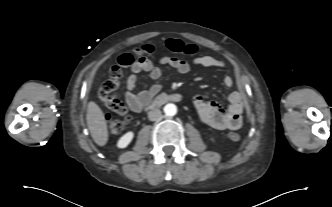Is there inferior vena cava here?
I'll return each mask as SVG.
<instances>
[{
    "mask_svg": "<svg viewBox=\"0 0 332 207\" xmlns=\"http://www.w3.org/2000/svg\"><path fill=\"white\" fill-rule=\"evenodd\" d=\"M148 118L151 121L160 120L162 118V113H161V111L159 109H152L148 113Z\"/></svg>",
    "mask_w": 332,
    "mask_h": 207,
    "instance_id": "602c4592",
    "label": "inferior vena cava"
}]
</instances>
